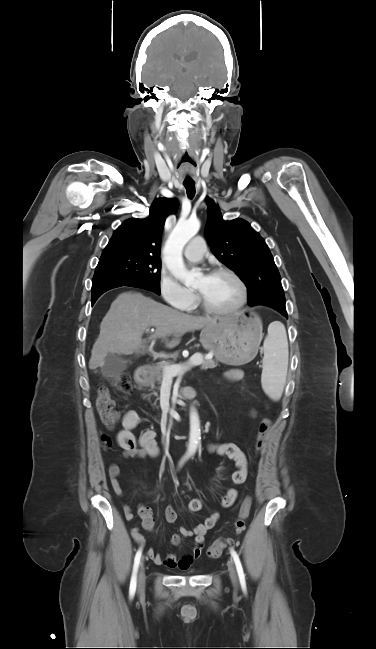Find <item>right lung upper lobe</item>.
<instances>
[{"instance_id":"right-lung-upper-lobe-1","label":"right lung upper lobe","mask_w":376,"mask_h":649,"mask_svg":"<svg viewBox=\"0 0 376 649\" xmlns=\"http://www.w3.org/2000/svg\"><path fill=\"white\" fill-rule=\"evenodd\" d=\"M178 207L176 199L158 198L146 219H128L115 230L104 254L136 252L160 255L161 234L166 217L174 214Z\"/></svg>"}]
</instances>
